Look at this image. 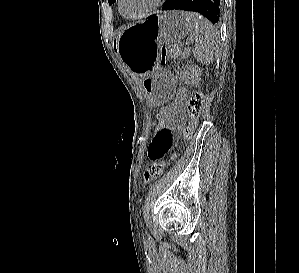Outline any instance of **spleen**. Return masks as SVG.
Instances as JSON below:
<instances>
[{
    "label": "spleen",
    "mask_w": 299,
    "mask_h": 273,
    "mask_svg": "<svg viewBox=\"0 0 299 273\" xmlns=\"http://www.w3.org/2000/svg\"><path fill=\"white\" fill-rule=\"evenodd\" d=\"M194 37L193 54L198 62L209 65L214 61L219 48V33L210 21L193 12L184 13Z\"/></svg>",
    "instance_id": "obj_1"
}]
</instances>
